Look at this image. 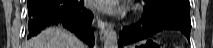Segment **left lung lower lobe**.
I'll list each match as a JSON object with an SVG mask.
<instances>
[{"instance_id": "obj_1", "label": "left lung lower lobe", "mask_w": 213, "mask_h": 48, "mask_svg": "<svg viewBox=\"0 0 213 48\" xmlns=\"http://www.w3.org/2000/svg\"><path fill=\"white\" fill-rule=\"evenodd\" d=\"M189 9L172 2H146L142 19L122 31L118 46L121 48L123 45L148 38L163 29L180 30L190 42Z\"/></svg>"}]
</instances>
